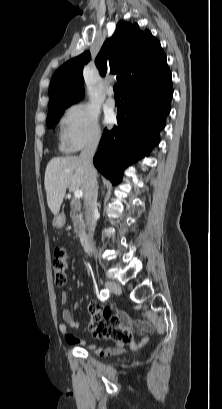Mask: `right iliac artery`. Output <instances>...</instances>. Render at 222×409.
I'll return each instance as SVG.
<instances>
[{
  "label": "right iliac artery",
  "mask_w": 222,
  "mask_h": 409,
  "mask_svg": "<svg viewBox=\"0 0 222 409\" xmlns=\"http://www.w3.org/2000/svg\"><path fill=\"white\" fill-rule=\"evenodd\" d=\"M100 299L101 300H106V299H108L109 298V291L107 290V289H102L101 291H100Z\"/></svg>",
  "instance_id": "1"
}]
</instances>
